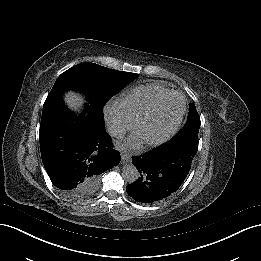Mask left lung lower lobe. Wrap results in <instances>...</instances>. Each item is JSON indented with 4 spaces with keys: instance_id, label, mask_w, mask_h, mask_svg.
<instances>
[{
    "instance_id": "left-lung-lower-lobe-1",
    "label": "left lung lower lobe",
    "mask_w": 261,
    "mask_h": 261,
    "mask_svg": "<svg viewBox=\"0 0 261 261\" xmlns=\"http://www.w3.org/2000/svg\"><path fill=\"white\" fill-rule=\"evenodd\" d=\"M197 149L184 142L171 140L166 144L132 157L140 177L126 187L129 196L141 203L166 200L185 180Z\"/></svg>"
}]
</instances>
